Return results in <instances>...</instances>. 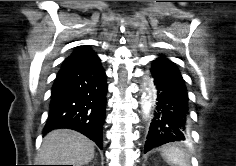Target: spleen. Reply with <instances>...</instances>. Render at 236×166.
<instances>
[{"mask_svg": "<svg viewBox=\"0 0 236 166\" xmlns=\"http://www.w3.org/2000/svg\"><path fill=\"white\" fill-rule=\"evenodd\" d=\"M163 156L175 166H190L189 156L184 149L170 146L163 150Z\"/></svg>", "mask_w": 236, "mask_h": 166, "instance_id": "3e777b00", "label": "spleen"}]
</instances>
